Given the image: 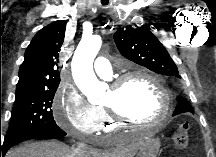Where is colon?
Returning a JSON list of instances; mask_svg holds the SVG:
<instances>
[{
  "instance_id": "obj_1",
  "label": "colon",
  "mask_w": 216,
  "mask_h": 157,
  "mask_svg": "<svg viewBox=\"0 0 216 157\" xmlns=\"http://www.w3.org/2000/svg\"><path fill=\"white\" fill-rule=\"evenodd\" d=\"M190 142V123L188 120L181 121L174 135V146L177 150L184 151Z\"/></svg>"
}]
</instances>
